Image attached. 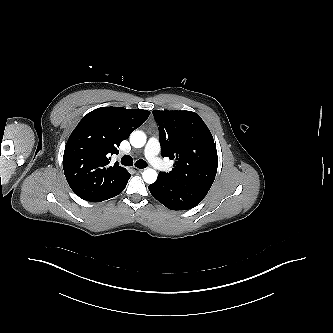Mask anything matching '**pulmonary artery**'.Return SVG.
Returning <instances> with one entry per match:
<instances>
[{
    "instance_id": "obj_1",
    "label": "pulmonary artery",
    "mask_w": 333,
    "mask_h": 333,
    "mask_svg": "<svg viewBox=\"0 0 333 333\" xmlns=\"http://www.w3.org/2000/svg\"><path fill=\"white\" fill-rule=\"evenodd\" d=\"M160 144L156 137H151L144 149V154L148 161L156 169L165 170L168 166L158 157Z\"/></svg>"
}]
</instances>
